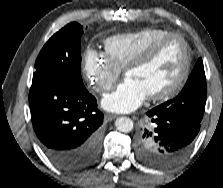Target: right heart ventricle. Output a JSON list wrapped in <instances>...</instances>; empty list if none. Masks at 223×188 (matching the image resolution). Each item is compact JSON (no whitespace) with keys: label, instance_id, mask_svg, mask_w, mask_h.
<instances>
[{"label":"right heart ventricle","instance_id":"e07e8e85","mask_svg":"<svg viewBox=\"0 0 223 188\" xmlns=\"http://www.w3.org/2000/svg\"><path fill=\"white\" fill-rule=\"evenodd\" d=\"M167 33L169 31L165 29L149 27L135 32L117 34L105 41V53L115 65L122 69L137 53Z\"/></svg>","mask_w":223,"mask_h":188}]
</instances>
